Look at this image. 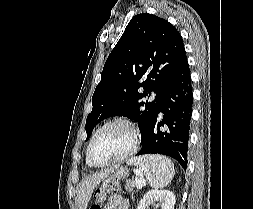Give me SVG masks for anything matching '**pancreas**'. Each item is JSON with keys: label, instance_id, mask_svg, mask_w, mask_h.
<instances>
[{"label": "pancreas", "instance_id": "1", "mask_svg": "<svg viewBox=\"0 0 253 209\" xmlns=\"http://www.w3.org/2000/svg\"><path fill=\"white\" fill-rule=\"evenodd\" d=\"M135 186H136V182L131 181V180H127L126 185H125V189L128 190L129 192H133V188Z\"/></svg>", "mask_w": 253, "mask_h": 209}]
</instances>
